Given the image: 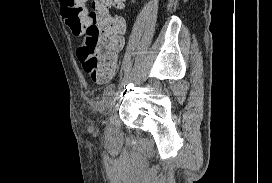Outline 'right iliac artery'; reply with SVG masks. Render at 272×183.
<instances>
[{
    "mask_svg": "<svg viewBox=\"0 0 272 183\" xmlns=\"http://www.w3.org/2000/svg\"><path fill=\"white\" fill-rule=\"evenodd\" d=\"M114 88H115V84H110L106 87V89L104 90V96L106 95H110L113 91H114Z\"/></svg>",
    "mask_w": 272,
    "mask_h": 183,
    "instance_id": "obj_1",
    "label": "right iliac artery"
}]
</instances>
